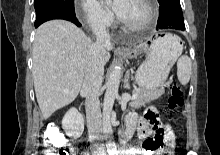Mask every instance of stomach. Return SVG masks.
I'll return each instance as SVG.
<instances>
[{
	"mask_svg": "<svg viewBox=\"0 0 220 155\" xmlns=\"http://www.w3.org/2000/svg\"><path fill=\"white\" fill-rule=\"evenodd\" d=\"M142 47L147 57L138 68L135 80L144 91L153 93L164 86L176 59L182 53L181 39L173 34H161ZM139 51L128 53L125 58H132Z\"/></svg>",
	"mask_w": 220,
	"mask_h": 155,
	"instance_id": "obj_1",
	"label": "stomach"
}]
</instances>
